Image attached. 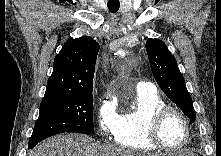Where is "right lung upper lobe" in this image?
<instances>
[{"mask_svg":"<svg viewBox=\"0 0 221 156\" xmlns=\"http://www.w3.org/2000/svg\"><path fill=\"white\" fill-rule=\"evenodd\" d=\"M98 51L99 44L91 37L68 39L55 57L43 99L92 91Z\"/></svg>","mask_w":221,"mask_h":156,"instance_id":"cb5924a9","label":"right lung upper lobe"}]
</instances>
